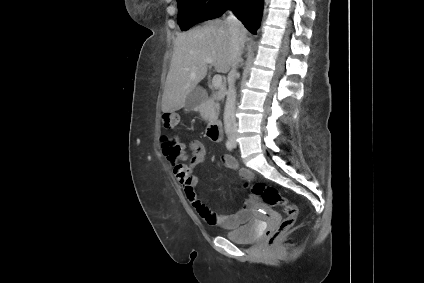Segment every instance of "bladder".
I'll return each mask as SVG.
<instances>
[{"instance_id": "obj_1", "label": "bladder", "mask_w": 424, "mask_h": 283, "mask_svg": "<svg viewBox=\"0 0 424 283\" xmlns=\"http://www.w3.org/2000/svg\"><path fill=\"white\" fill-rule=\"evenodd\" d=\"M260 229L259 221L253 219L245 225L228 232L226 237L237 244H249L258 238Z\"/></svg>"}]
</instances>
